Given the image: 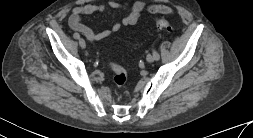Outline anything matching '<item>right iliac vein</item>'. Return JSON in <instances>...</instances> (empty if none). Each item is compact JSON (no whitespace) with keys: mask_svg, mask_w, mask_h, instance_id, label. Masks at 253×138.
<instances>
[{"mask_svg":"<svg viewBox=\"0 0 253 138\" xmlns=\"http://www.w3.org/2000/svg\"><path fill=\"white\" fill-rule=\"evenodd\" d=\"M79 45L82 49H84L86 47V43H85V40L83 38L79 39Z\"/></svg>","mask_w":253,"mask_h":138,"instance_id":"1","label":"right iliac vein"}]
</instances>
